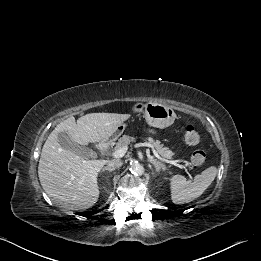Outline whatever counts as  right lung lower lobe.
Returning a JSON list of instances; mask_svg holds the SVG:
<instances>
[{
  "label": "right lung lower lobe",
  "mask_w": 261,
  "mask_h": 261,
  "mask_svg": "<svg viewBox=\"0 0 261 261\" xmlns=\"http://www.w3.org/2000/svg\"><path fill=\"white\" fill-rule=\"evenodd\" d=\"M102 210H103V209H102ZM99 211H101V210H99ZM99 211L84 212V213H77V214H78V215H83V216H90V215L95 214V213H97V212H99Z\"/></svg>",
  "instance_id": "right-lung-lower-lobe-1"
}]
</instances>
